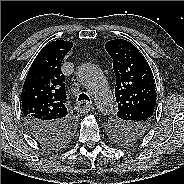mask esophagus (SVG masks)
<instances>
[{"instance_id": "34e87169", "label": "esophagus", "mask_w": 184, "mask_h": 184, "mask_svg": "<svg viewBox=\"0 0 184 184\" xmlns=\"http://www.w3.org/2000/svg\"><path fill=\"white\" fill-rule=\"evenodd\" d=\"M76 105H77V107H76L77 110L81 113L89 112V111H92L94 109V107L91 104H89L85 101L77 102Z\"/></svg>"}]
</instances>
